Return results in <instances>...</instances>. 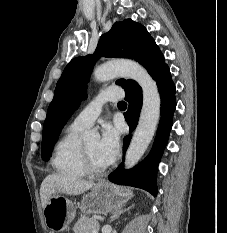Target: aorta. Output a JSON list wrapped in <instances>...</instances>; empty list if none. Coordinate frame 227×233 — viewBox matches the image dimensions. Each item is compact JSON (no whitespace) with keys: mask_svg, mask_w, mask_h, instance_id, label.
<instances>
[{"mask_svg":"<svg viewBox=\"0 0 227 233\" xmlns=\"http://www.w3.org/2000/svg\"><path fill=\"white\" fill-rule=\"evenodd\" d=\"M116 77H127L135 80L143 91V105L138 126L125 156V168H131L138 163L154 136L160 118L161 99L156 82L136 62L129 60L111 61L94 70V78L99 82ZM97 138H99V134L94 129L84 135L86 141Z\"/></svg>","mask_w":227,"mask_h":233,"instance_id":"aorta-1","label":"aorta"}]
</instances>
